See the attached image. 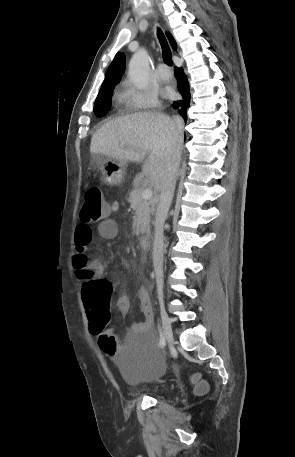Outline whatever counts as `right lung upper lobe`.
Instances as JSON below:
<instances>
[{
  "label": "right lung upper lobe",
  "mask_w": 295,
  "mask_h": 457,
  "mask_svg": "<svg viewBox=\"0 0 295 457\" xmlns=\"http://www.w3.org/2000/svg\"><path fill=\"white\" fill-rule=\"evenodd\" d=\"M168 40L174 50H176V42L171 34L166 33ZM125 69V55L118 52L110 64L108 71L105 76V80L102 84L101 89L112 88L120 80Z\"/></svg>",
  "instance_id": "obj_1"
}]
</instances>
